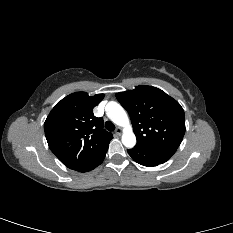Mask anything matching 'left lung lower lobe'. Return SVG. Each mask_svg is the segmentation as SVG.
Listing matches in <instances>:
<instances>
[{"label":"left lung lower lobe","mask_w":233,"mask_h":233,"mask_svg":"<svg viewBox=\"0 0 233 233\" xmlns=\"http://www.w3.org/2000/svg\"><path fill=\"white\" fill-rule=\"evenodd\" d=\"M127 151L137 163L153 167L165 163L176 152V149L136 145L133 149H128Z\"/></svg>","instance_id":"0a47b994"}]
</instances>
